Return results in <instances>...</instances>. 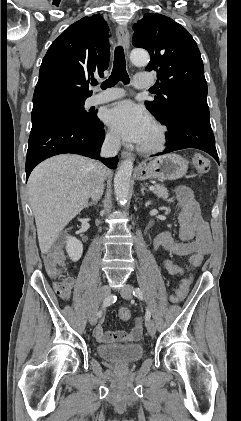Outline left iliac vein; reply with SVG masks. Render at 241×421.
<instances>
[{
  "label": "left iliac vein",
  "mask_w": 241,
  "mask_h": 421,
  "mask_svg": "<svg viewBox=\"0 0 241 421\" xmlns=\"http://www.w3.org/2000/svg\"><path fill=\"white\" fill-rule=\"evenodd\" d=\"M132 292H133V287L129 284H127L122 290H121V296L126 299V300H130L132 298ZM147 331L149 333L150 336H154L156 333V325L154 323L153 320H149L147 322Z\"/></svg>",
  "instance_id": "left-iliac-vein-1"
}]
</instances>
